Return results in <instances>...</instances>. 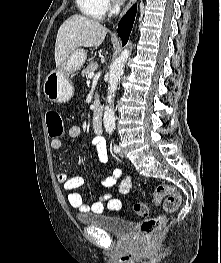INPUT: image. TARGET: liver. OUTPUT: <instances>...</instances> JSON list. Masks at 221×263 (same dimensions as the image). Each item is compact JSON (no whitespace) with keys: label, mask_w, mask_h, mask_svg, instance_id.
Wrapping results in <instances>:
<instances>
[{"label":"liver","mask_w":221,"mask_h":263,"mask_svg":"<svg viewBox=\"0 0 221 263\" xmlns=\"http://www.w3.org/2000/svg\"><path fill=\"white\" fill-rule=\"evenodd\" d=\"M108 29L96 20L72 15L60 26L55 43V62L60 67L78 47L99 46Z\"/></svg>","instance_id":"6515ba94"}]
</instances>
